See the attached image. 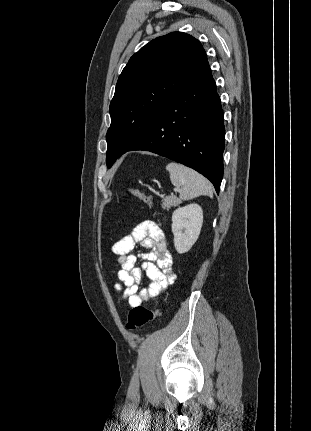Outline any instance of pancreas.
<instances>
[{
  "instance_id": "pancreas-1",
  "label": "pancreas",
  "mask_w": 311,
  "mask_h": 431,
  "mask_svg": "<svg viewBox=\"0 0 311 431\" xmlns=\"http://www.w3.org/2000/svg\"><path fill=\"white\" fill-rule=\"evenodd\" d=\"M179 204H182L180 198H176V196H166V198H163L161 206L163 210H169L172 206H179Z\"/></svg>"
}]
</instances>
